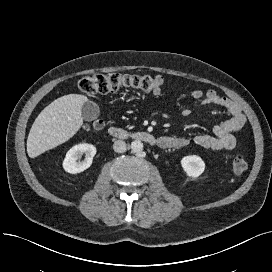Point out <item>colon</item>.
<instances>
[{
  "instance_id": "1",
  "label": "colon",
  "mask_w": 272,
  "mask_h": 272,
  "mask_svg": "<svg viewBox=\"0 0 272 272\" xmlns=\"http://www.w3.org/2000/svg\"><path fill=\"white\" fill-rule=\"evenodd\" d=\"M163 79L161 76L149 74H122L117 72L84 76L78 81L80 92L88 95L115 93L123 88H133L148 94H158L161 91ZM92 128L102 127L99 120H94ZM247 161L242 156H235L232 169L235 173H243L247 169Z\"/></svg>"
}]
</instances>
